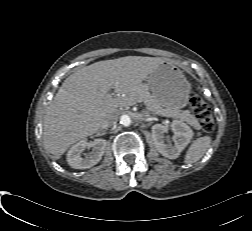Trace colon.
<instances>
[{
	"label": "colon",
	"instance_id": "obj_1",
	"mask_svg": "<svg viewBox=\"0 0 252 231\" xmlns=\"http://www.w3.org/2000/svg\"><path fill=\"white\" fill-rule=\"evenodd\" d=\"M189 107L196 115L199 125L204 132H211L214 128L212 111L205 101L197 94L189 98Z\"/></svg>",
	"mask_w": 252,
	"mask_h": 231
}]
</instances>
